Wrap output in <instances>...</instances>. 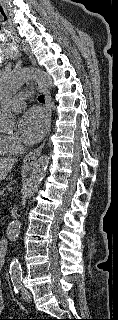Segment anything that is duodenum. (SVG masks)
<instances>
[{"instance_id": "410a0bca", "label": "duodenum", "mask_w": 118, "mask_h": 320, "mask_svg": "<svg viewBox=\"0 0 118 320\" xmlns=\"http://www.w3.org/2000/svg\"><path fill=\"white\" fill-rule=\"evenodd\" d=\"M7 240L5 239H1L0 240V266H2L4 264V260H5V254H6V250H7Z\"/></svg>"}]
</instances>
